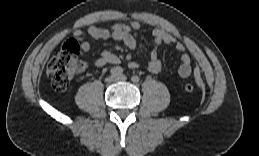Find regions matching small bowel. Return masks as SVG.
Returning <instances> with one entry per match:
<instances>
[{
	"label": "small bowel",
	"mask_w": 259,
	"mask_h": 156,
	"mask_svg": "<svg viewBox=\"0 0 259 156\" xmlns=\"http://www.w3.org/2000/svg\"><path fill=\"white\" fill-rule=\"evenodd\" d=\"M140 27V23L136 20L130 21L129 23H116L108 28L90 26L86 32L79 29L75 30L73 37L75 41L79 43L83 51H88L91 47L89 41L86 39V35L94 39H114L122 41L129 50L126 55L128 67L135 69L138 68L139 64L133 59V53L137 48V40L133 33L138 31ZM152 37L154 46L150 52V59L147 64L148 71L156 74L162 70V62L159 58L158 48L162 45L175 43L176 49L182 52L178 73L181 77H188L192 72V60L187 53H184L185 45L181 42H176L175 37L163 28H155L152 31ZM119 62L120 57L118 55L106 50L102 52L95 64L97 67H103L107 64H118Z\"/></svg>",
	"instance_id": "obj_1"
}]
</instances>
